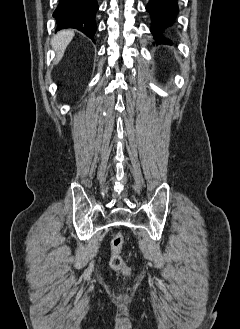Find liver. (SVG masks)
I'll return each mask as SVG.
<instances>
[{
    "mask_svg": "<svg viewBox=\"0 0 240 329\" xmlns=\"http://www.w3.org/2000/svg\"><path fill=\"white\" fill-rule=\"evenodd\" d=\"M74 37V31L63 30L58 32L52 39V47L56 51V63H58L65 52L66 47L69 45Z\"/></svg>",
    "mask_w": 240,
    "mask_h": 329,
    "instance_id": "obj_1",
    "label": "liver"
}]
</instances>
